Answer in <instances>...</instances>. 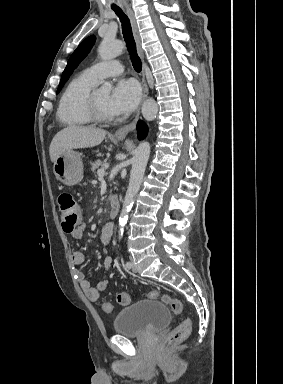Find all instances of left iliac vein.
<instances>
[{
	"mask_svg": "<svg viewBox=\"0 0 283 384\" xmlns=\"http://www.w3.org/2000/svg\"><path fill=\"white\" fill-rule=\"evenodd\" d=\"M130 263H131V269H132V271L133 272H136L137 271V269H136V267H135V265H134V262H133V259H132V257H130Z\"/></svg>",
	"mask_w": 283,
	"mask_h": 384,
	"instance_id": "4c4485c4",
	"label": "left iliac vein"
}]
</instances>
